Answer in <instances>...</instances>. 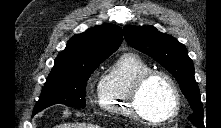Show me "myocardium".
Returning <instances> with one entry per match:
<instances>
[{
  "mask_svg": "<svg viewBox=\"0 0 221 128\" xmlns=\"http://www.w3.org/2000/svg\"><path fill=\"white\" fill-rule=\"evenodd\" d=\"M156 76L162 77L167 82L170 88V92L172 94V107L170 111L162 118L149 117L141 110L139 106V94L142 88L144 87V85L147 83L148 80ZM129 107H130L132 114L136 118L141 119L147 123L159 125V124H165L171 121L177 116L181 107V98H180L178 87L174 79L166 72L157 70V69H151V70L144 72L135 80L132 86V89L129 93Z\"/></svg>",
  "mask_w": 221,
  "mask_h": 128,
  "instance_id": "f54148a6",
  "label": "myocardium"
}]
</instances>
